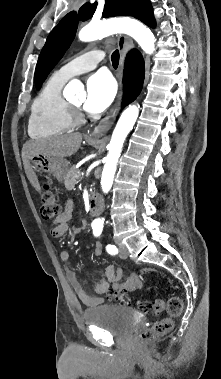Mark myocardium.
Here are the masks:
<instances>
[{
    "mask_svg": "<svg viewBox=\"0 0 221 379\" xmlns=\"http://www.w3.org/2000/svg\"><path fill=\"white\" fill-rule=\"evenodd\" d=\"M68 104H69L70 113H71V117L73 119V122L74 123L83 122L84 118H83V114L80 111V106L76 105L74 103H71V102H68Z\"/></svg>",
    "mask_w": 221,
    "mask_h": 379,
    "instance_id": "1",
    "label": "myocardium"
}]
</instances>
